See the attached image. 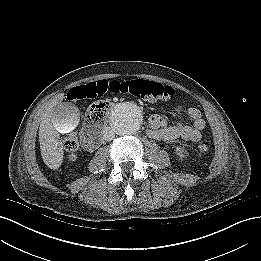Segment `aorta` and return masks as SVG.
I'll return each instance as SVG.
<instances>
[{
	"label": "aorta",
	"mask_w": 261,
	"mask_h": 261,
	"mask_svg": "<svg viewBox=\"0 0 261 261\" xmlns=\"http://www.w3.org/2000/svg\"><path fill=\"white\" fill-rule=\"evenodd\" d=\"M143 122L141 108L134 102H123L116 105L110 113V125L120 136L136 133Z\"/></svg>",
	"instance_id": "aorta-1"
}]
</instances>
